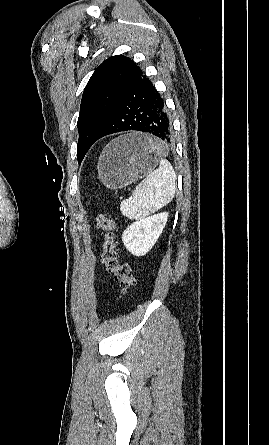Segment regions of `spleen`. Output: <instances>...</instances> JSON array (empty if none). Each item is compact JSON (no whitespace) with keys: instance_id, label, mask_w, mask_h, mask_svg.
I'll return each instance as SVG.
<instances>
[{"instance_id":"spleen-1","label":"spleen","mask_w":269,"mask_h":445,"mask_svg":"<svg viewBox=\"0 0 269 445\" xmlns=\"http://www.w3.org/2000/svg\"><path fill=\"white\" fill-rule=\"evenodd\" d=\"M175 171L171 163L161 159L132 192V197L121 202L120 210L129 219H143L172 201L175 194Z\"/></svg>"}]
</instances>
